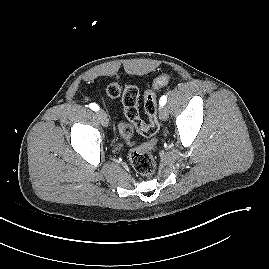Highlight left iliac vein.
Listing matches in <instances>:
<instances>
[{
	"instance_id": "1",
	"label": "left iliac vein",
	"mask_w": 269,
	"mask_h": 269,
	"mask_svg": "<svg viewBox=\"0 0 269 269\" xmlns=\"http://www.w3.org/2000/svg\"><path fill=\"white\" fill-rule=\"evenodd\" d=\"M159 116L162 120L168 119V111L165 107L161 106L159 109Z\"/></svg>"
}]
</instances>
